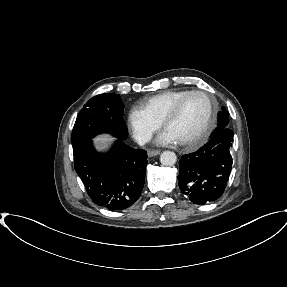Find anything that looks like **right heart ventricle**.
I'll use <instances>...</instances> for the list:
<instances>
[{"label": "right heart ventricle", "mask_w": 287, "mask_h": 287, "mask_svg": "<svg viewBox=\"0 0 287 287\" xmlns=\"http://www.w3.org/2000/svg\"><path fill=\"white\" fill-rule=\"evenodd\" d=\"M189 92L191 90L173 89L164 91L142 101L139 104V109L151 119L161 124L164 116L172 106Z\"/></svg>", "instance_id": "1"}]
</instances>
